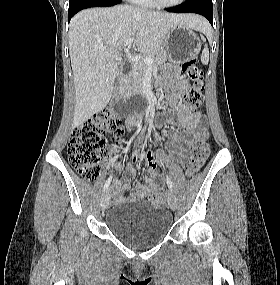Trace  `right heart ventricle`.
<instances>
[{
  "label": "right heart ventricle",
  "mask_w": 280,
  "mask_h": 285,
  "mask_svg": "<svg viewBox=\"0 0 280 285\" xmlns=\"http://www.w3.org/2000/svg\"><path fill=\"white\" fill-rule=\"evenodd\" d=\"M133 2L142 7H152L153 6L150 0H133Z\"/></svg>",
  "instance_id": "obj_1"
}]
</instances>
